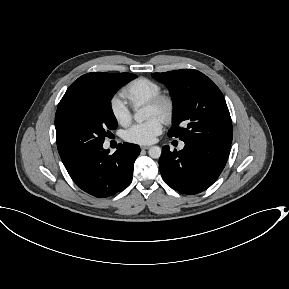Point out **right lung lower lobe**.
Returning <instances> with one entry per match:
<instances>
[{"label": "right lung lower lobe", "instance_id": "right-lung-lower-lobe-1", "mask_svg": "<svg viewBox=\"0 0 289 289\" xmlns=\"http://www.w3.org/2000/svg\"><path fill=\"white\" fill-rule=\"evenodd\" d=\"M108 153L109 150H104L101 145L65 165L76 185L95 197H109L131 183L140 148L124 143L112 155Z\"/></svg>", "mask_w": 289, "mask_h": 289}]
</instances>
